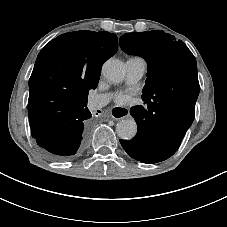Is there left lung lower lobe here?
I'll return each instance as SVG.
<instances>
[{"mask_svg": "<svg viewBox=\"0 0 227 227\" xmlns=\"http://www.w3.org/2000/svg\"><path fill=\"white\" fill-rule=\"evenodd\" d=\"M199 88L189 85L172 98L150 99L144 101L145 107H132L130 113L138 131L131 140H120L124 150L143 163H157L172 156L193 122Z\"/></svg>", "mask_w": 227, "mask_h": 227, "instance_id": "1", "label": "left lung lower lobe"}]
</instances>
